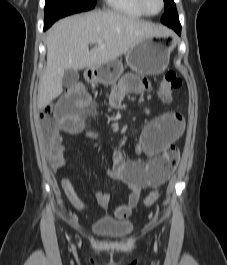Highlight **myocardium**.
Here are the masks:
<instances>
[{
  "instance_id": "f54148a6",
  "label": "myocardium",
  "mask_w": 227,
  "mask_h": 265,
  "mask_svg": "<svg viewBox=\"0 0 227 265\" xmlns=\"http://www.w3.org/2000/svg\"><path fill=\"white\" fill-rule=\"evenodd\" d=\"M160 1V9L155 12V13H151L149 11H147L146 7H145V1L144 0H137V3H138V6H139V9L142 11V13L146 16H156L158 15L159 13H161L164 9V6H165V2L164 0H159Z\"/></svg>"
}]
</instances>
